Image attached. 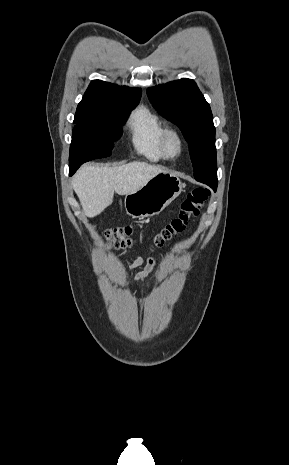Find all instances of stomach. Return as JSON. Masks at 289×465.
Returning a JSON list of instances; mask_svg holds the SVG:
<instances>
[{"mask_svg": "<svg viewBox=\"0 0 289 465\" xmlns=\"http://www.w3.org/2000/svg\"><path fill=\"white\" fill-rule=\"evenodd\" d=\"M184 187L177 176L159 173L140 189L125 196L126 213L138 219L157 215L180 195Z\"/></svg>", "mask_w": 289, "mask_h": 465, "instance_id": "1", "label": "stomach"}]
</instances>
